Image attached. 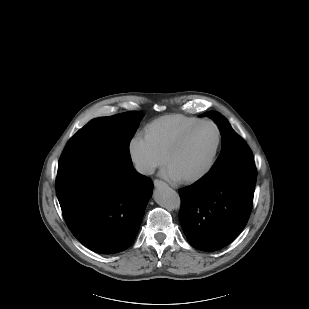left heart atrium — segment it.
I'll list each match as a JSON object with an SVG mask.
<instances>
[{"mask_svg": "<svg viewBox=\"0 0 309 309\" xmlns=\"http://www.w3.org/2000/svg\"><path fill=\"white\" fill-rule=\"evenodd\" d=\"M161 175L170 181L177 182L180 180V177L177 175V173L169 166L167 165L161 172Z\"/></svg>", "mask_w": 309, "mask_h": 309, "instance_id": "39dd6f15", "label": "left heart atrium"}]
</instances>
